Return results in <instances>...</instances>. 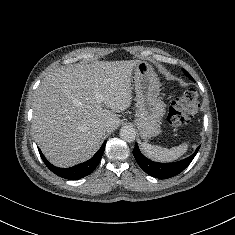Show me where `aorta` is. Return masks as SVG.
<instances>
[{"instance_id": "762f6f07", "label": "aorta", "mask_w": 235, "mask_h": 235, "mask_svg": "<svg viewBox=\"0 0 235 235\" xmlns=\"http://www.w3.org/2000/svg\"><path fill=\"white\" fill-rule=\"evenodd\" d=\"M120 137L122 140L126 142H133L136 138V132L134 128L129 126H124L120 130Z\"/></svg>"}]
</instances>
